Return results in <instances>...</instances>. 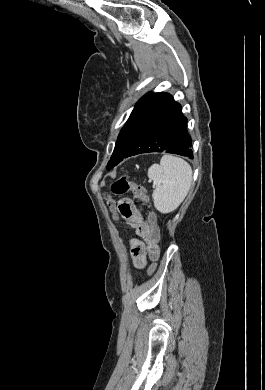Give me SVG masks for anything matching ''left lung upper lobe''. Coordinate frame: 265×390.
Wrapping results in <instances>:
<instances>
[{
  "label": "left lung upper lobe",
  "mask_w": 265,
  "mask_h": 390,
  "mask_svg": "<svg viewBox=\"0 0 265 390\" xmlns=\"http://www.w3.org/2000/svg\"><path fill=\"white\" fill-rule=\"evenodd\" d=\"M154 94L155 93L150 92V93L146 94L144 97H142L136 103L129 119L127 120V122L125 123V125L123 126V128L121 129V131L118 135L115 149H114V152H113V154L108 162L107 169H110L116 165V162L118 161L120 154L125 149L128 141L133 133L135 123L138 119V116H139L141 110L152 99Z\"/></svg>",
  "instance_id": "left-lung-upper-lobe-1"
}]
</instances>
